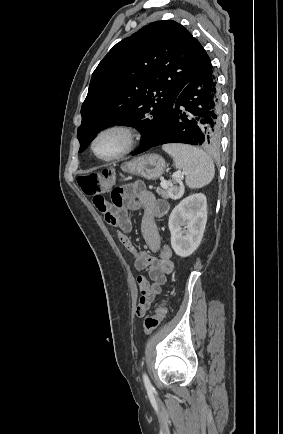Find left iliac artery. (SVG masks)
<instances>
[{
	"mask_svg": "<svg viewBox=\"0 0 283 434\" xmlns=\"http://www.w3.org/2000/svg\"><path fill=\"white\" fill-rule=\"evenodd\" d=\"M143 381H144V385L146 387V390L148 392H152L154 390V388H153V386H152V384H151V382H150V380H149V378H148V376H147L146 373L143 374Z\"/></svg>",
	"mask_w": 283,
	"mask_h": 434,
	"instance_id": "44dca946",
	"label": "left iliac artery"
}]
</instances>
